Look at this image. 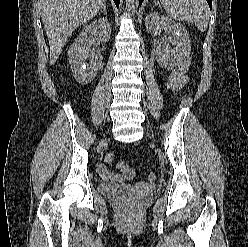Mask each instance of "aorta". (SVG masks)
<instances>
[{"label": "aorta", "instance_id": "obj_1", "mask_svg": "<svg viewBox=\"0 0 248 247\" xmlns=\"http://www.w3.org/2000/svg\"><path fill=\"white\" fill-rule=\"evenodd\" d=\"M129 11L135 12L138 7V0H125Z\"/></svg>", "mask_w": 248, "mask_h": 247}]
</instances>
